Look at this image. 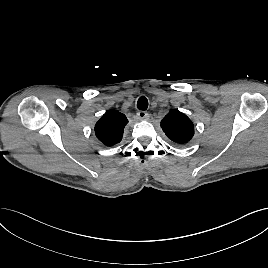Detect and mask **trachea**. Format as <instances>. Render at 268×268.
Returning a JSON list of instances; mask_svg holds the SVG:
<instances>
[{
    "label": "trachea",
    "instance_id": "trachea-1",
    "mask_svg": "<svg viewBox=\"0 0 268 268\" xmlns=\"http://www.w3.org/2000/svg\"><path fill=\"white\" fill-rule=\"evenodd\" d=\"M137 108L145 111L148 108V100L145 96H141L137 101Z\"/></svg>",
    "mask_w": 268,
    "mask_h": 268
}]
</instances>
